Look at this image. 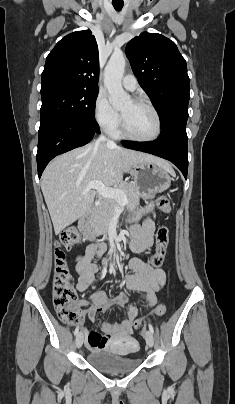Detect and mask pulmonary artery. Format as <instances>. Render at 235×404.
Segmentation results:
<instances>
[{
    "instance_id": "pulmonary-artery-1",
    "label": "pulmonary artery",
    "mask_w": 235,
    "mask_h": 404,
    "mask_svg": "<svg viewBox=\"0 0 235 404\" xmlns=\"http://www.w3.org/2000/svg\"><path fill=\"white\" fill-rule=\"evenodd\" d=\"M122 86L129 91H134L138 86L136 77L132 74L125 75L122 78Z\"/></svg>"
}]
</instances>
